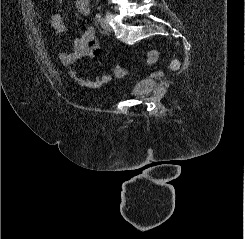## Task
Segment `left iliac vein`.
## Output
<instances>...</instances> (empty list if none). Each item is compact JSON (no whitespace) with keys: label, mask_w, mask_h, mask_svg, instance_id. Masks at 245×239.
<instances>
[{"label":"left iliac vein","mask_w":245,"mask_h":239,"mask_svg":"<svg viewBox=\"0 0 245 239\" xmlns=\"http://www.w3.org/2000/svg\"><path fill=\"white\" fill-rule=\"evenodd\" d=\"M101 28L104 32H110L111 27L106 19L101 20Z\"/></svg>","instance_id":"1"}]
</instances>
